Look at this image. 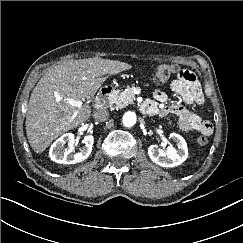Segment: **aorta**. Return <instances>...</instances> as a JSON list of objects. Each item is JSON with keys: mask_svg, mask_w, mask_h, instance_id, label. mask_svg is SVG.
<instances>
[{"mask_svg": "<svg viewBox=\"0 0 243 243\" xmlns=\"http://www.w3.org/2000/svg\"><path fill=\"white\" fill-rule=\"evenodd\" d=\"M123 125L126 127H132L137 122V115L135 112L128 111L123 115L122 118Z\"/></svg>", "mask_w": 243, "mask_h": 243, "instance_id": "aorta-1", "label": "aorta"}]
</instances>
